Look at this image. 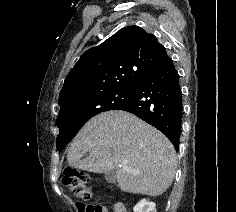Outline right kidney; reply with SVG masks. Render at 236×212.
Wrapping results in <instances>:
<instances>
[{
  "instance_id": "ca27d5eb",
  "label": "right kidney",
  "mask_w": 236,
  "mask_h": 212,
  "mask_svg": "<svg viewBox=\"0 0 236 212\" xmlns=\"http://www.w3.org/2000/svg\"><path fill=\"white\" fill-rule=\"evenodd\" d=\"M156 205L153 202H150L146 199H142L140 202H138L134 208V212H156Z\"/></svg>"
}]
</instances>
